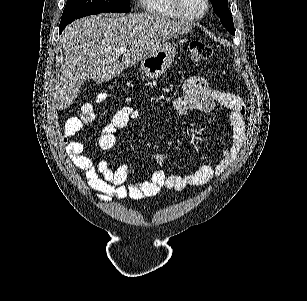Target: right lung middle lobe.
Masks as SVG:
<instances>
[{"mask_svg":"<svg viewBox=\"0 0 307 301\" xmlns=\"http://www.w3.org/2000/svg\"><path fill=\"white\" fill-rule=\"evenodd\" d=\"M129 0H67L59 32L75 19L102 12H129Z\"/></svg>","mask_w":307,"mask_h":301,"instance_id":"right-lung-middle-lobe-1","label":"right lung middle lobe"}]
</instances>
